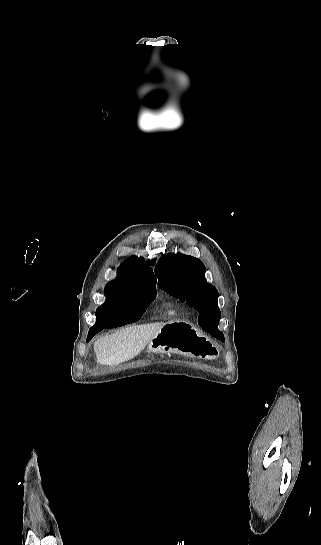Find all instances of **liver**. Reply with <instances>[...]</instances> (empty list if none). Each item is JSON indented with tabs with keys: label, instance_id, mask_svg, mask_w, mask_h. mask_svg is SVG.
I'll return each instance as SVG.
<instances>
[{
	"label": "liver",
	"instance_id": "1",
	"mask_svg": "<svg viewBox=\"0 0 321 545\" xmlns=\"http://www.w3.org/2000/svg\"><path fill=\"white\" fill-rule=\"evenodd\" d=\"M164 323L132 325L116 331L113 335L101 337L94 343L97 363L100 365H120L137 357L149 341L159 333Z\"/></svg>",
	"mask_w": 321,
	"mask_h": 545
}]
</instances>
